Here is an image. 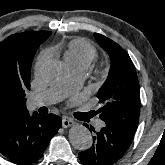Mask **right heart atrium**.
I'll list each match as a JSON object with an SVG mask.
<instances>
[{"mask_svg": "<svg viewBox=\"0 0 165 165\" xmlns=\"http://www.w3.org/2000/svg\"><path fill=\"white\" fill-rule=\"evenodd\" d=\"M49 58V53L48 51H43L41 54L38 56L36 63H35V71L38 72L41 68V66L48 60Z\"/></svg>", "mask_w": 165, "mask_h": 165, "instance_id": "1", "label": "right heart atrium"}]
</instances>
